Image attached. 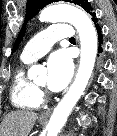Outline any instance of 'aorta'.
<instances>
[{"label": "aorta", "mask_w": 117, "mask_h": 136, "mask_svg": "<svg viewBox=\"0 0 117 136\" xmlns=\"http://www.w3.org/2000/svg\"><path fill=\"white\" fill-rule=\"evenodd\" d=\"M41 22H68L78 31L81 42L80 65L76 78L66 95L55 108L47 125V136H58L71 110L83 95L92 75L98 49L97 32L93 22L82 10L65 4L46 7L40 14ZM43 67L33 65L28 75L36 76Z\"/></svg>", "instance_id": "aorta-1"}]
</instances>
